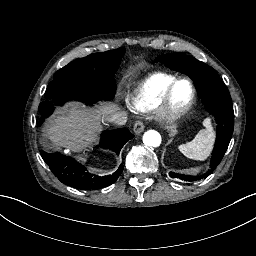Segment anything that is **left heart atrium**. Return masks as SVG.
<instances>
[{
	"label": "left heart atrium",
	"instance_id": "39dd6f15",
	"mask_svg": "<svg viewBox=\"0 0 256 256\" xmlns=\"http://www.w3.org/2000/svg\"><path fill=\"white\" fill-rule=\"evenodd\" d=\"M154 119H158L156 116H152Z\"/></svg>",
	"mask_w": 256,
	"mask_h": 256
}]
</instances>
